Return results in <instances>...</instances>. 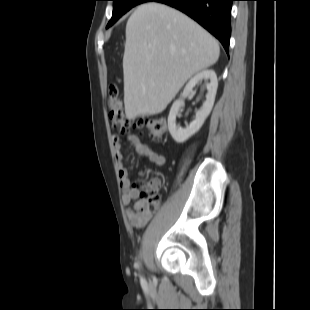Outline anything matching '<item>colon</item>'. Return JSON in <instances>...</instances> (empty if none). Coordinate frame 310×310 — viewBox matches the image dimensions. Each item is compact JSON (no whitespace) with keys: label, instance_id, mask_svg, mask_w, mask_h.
Listing matches in <instances>:
<instances>
[{"label":"colon","instance_id":"5ec220e1","mask_svg":"<svg viewBox=\"0 0 310 310\" xmlns=\"http://www.w3.org/2000/svg\"><path fill=\"white\" fill-rule=\"evenodd\" d=\"M109 95V117L113 124L121 132L129 131L131 128L145 129L152 139H160L167 128L166 120L162 117L141 119L133 122L128 119L124 113L122 101L118 96V88L111 85L108 89ZM132 187L138 190L139 195L148 206H156L160 202L157 185L152 180H141L138 183H132Z\"/></svg>","mask_w":310,"mask_h":310}]
</instances>
